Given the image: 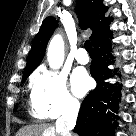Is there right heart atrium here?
<instances>
[{
	"instance_id": "d8ad5b80",
	"label": "right heart atrium",
	"mask_w": 136,
	"mask_h": 136,
	"mask_svg": "<svg viewBox=\"0 0 136 136\" xmlns=\"http://www.w3.org/2000/svg\"><path fill=\"white\" fill-rule=\"evenodd\" d=\"M32 114L39 118H57L78 110L79 103L70 93L66 76L42 69L31 80Z\"/></svg>"
}]
</instances>
